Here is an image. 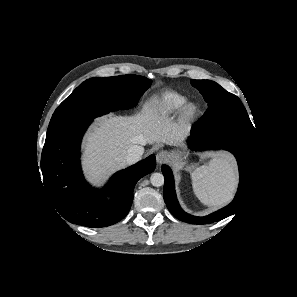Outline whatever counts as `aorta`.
Here are the masks:
<instances>
[{"instance_id":"aorta-1","label":"aorta","mask_w":297,"mask_h":297,"mask_svg":"<svg viewBox=\"0 0 297 297\" xmlns=\"http://www.w3.org/2000/svg\"><path fill=\"white\" fill-rule=\"evenodd\" d=\"M150 181L154 187H160L164 184V176L162 173H153L150 177Z\"/></svg>"}]
</instances>
